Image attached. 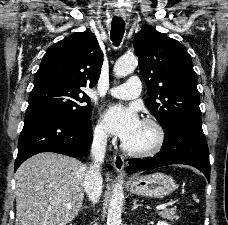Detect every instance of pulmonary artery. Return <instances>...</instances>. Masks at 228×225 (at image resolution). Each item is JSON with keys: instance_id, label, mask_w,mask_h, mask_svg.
<instances>
[{"instance_id": "pulmonary-artery-1", "label": "pulmonary artery", "mask_w": 228, "mask_h": 225, "mask_svg": "<svg viewBox=\"0 0 228 225\" xmlns=\"http://www.w3.org/2000/svg\"><path fill=\"white\" fill-rule=\"evenodd\" d=\"M138 80L136 76L130 79V85H120L109 89V93L119 99L129 100L141 94V81Z\"/></svg>"}]
</instances>
